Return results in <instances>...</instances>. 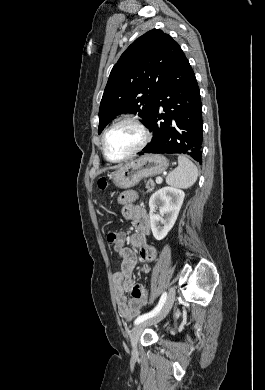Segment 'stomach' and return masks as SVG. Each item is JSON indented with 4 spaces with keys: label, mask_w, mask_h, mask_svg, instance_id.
Listing matches in <instances>:
<instances>
[{
    "label": "stomach",
    "mask_w": 265,
    "mask_h": 390,
    "mask_svg": "<svg viewBox=\"0 0 265 390\" xmlns=\"http://www.w3.org/2000/svg\"><path fill=\"white\" fill-rule=\"evenodd\" d=\"M169 166L167 158L160 154H148L131 161L110 174L115 186L126 189L135 186L142 178L157 176Z\"/></svg>",
    "instance_id": "1"
}]
</instances>
